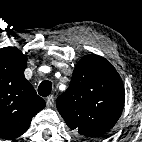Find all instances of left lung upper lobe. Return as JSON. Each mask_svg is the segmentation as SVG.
I'll use <instances>...</instances> for the list:
<instances>
[{
    "label": "left lung upper lobe",
    "mask_w": 142,
    "mask_h": 142,
    "mask_svg": "<svg viewBox=\"0 0 142 142\" xmlns=\"http://www.w3.org/2000/svg\"><path fill=\"white\" fill-rule=\"evenodd\" d=\"M125 90L116 69L105 58L88 54L76 64L69 88L56 106L65 122L85 138L108 132L119 119Z\"/></svg>",
    "instance_id": "1"
}]
</instances>
